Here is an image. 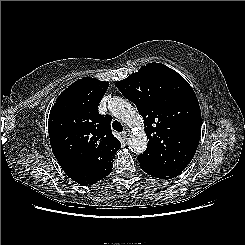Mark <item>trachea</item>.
<instances>
[{"mask_svg":"<svg viewBox=\"0 0 245 245\" xmlns=\"http://www.w3.org/2000/svg\"><path fill=\"white\" fill-rule=\"evenodd\" d=\"M112 127H113L114 130H116L118 132H122V130H123V126L121 125V123L116 121V120L113 121Z\"/></svg>","mask_w":245,"mask_h":245,"instance_id":"obj_1","label":"trachea"}]
</instances>
